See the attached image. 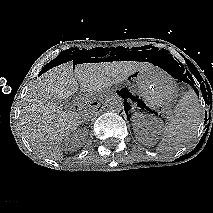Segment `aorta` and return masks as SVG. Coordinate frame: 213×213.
<instances>
[{
    "instance_id": "762f6f07",
    "label": "aorta",
    "mask_w": 213,
    "mask_h": 213,
    "mask_svg": "<svg viewBox=\"0 0 213 213\" xmlns=\"http://www.w3.org/2000/svg\"><path fill=\"white\" fill-rule=\"evenodd\" d=\"M106 107L110 112L120 113L124 107L123 99L118 95H112L106 99Z\"/></svg>"
}]
</instances>
